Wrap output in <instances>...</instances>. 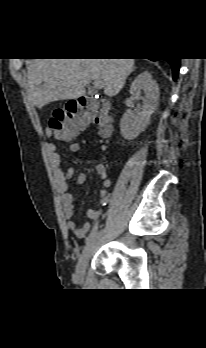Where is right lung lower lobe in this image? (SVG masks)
<instances>
[{
    "mask_svg": "<svg viewBox=\"0 0 206 348\" xmlns=\"http://www.w3.org/2000/svg\"><path fill=\"white\" fill-rule=\"evenodd\" d=\"M170 63L172 66V72H173V79L176 80L178 73H179V65H180V59L179 58H169L165 59Z\"/></svg>",
    "mask_w": 206,
    "mask_h": 348,
    "instance_id": "1",
    "label": "right lung lower lobe"
}]
</instances>
